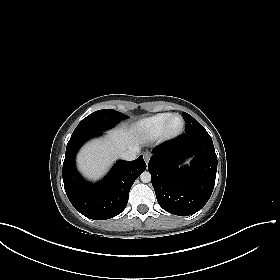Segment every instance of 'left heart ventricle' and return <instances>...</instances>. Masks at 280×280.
Segmentation results:
<instances>
[{
  "label": "left heart ventricle",
  "instance_id": "b2bd125f",
  "mask_svg": "<svg viewBox=\"0 0 280 280\" xmlns=\"http://www.w3.org/2000/svg\"><path fill=\"white\" fill-rule=\"evenodd\" d=\"M182 125V121L179 117H174L171 121H170V125H169V131L170 132H176L181 128Z\"/></svg>",
  "mask_w": 280,
  "mask_h": 280
}]
</instances>
